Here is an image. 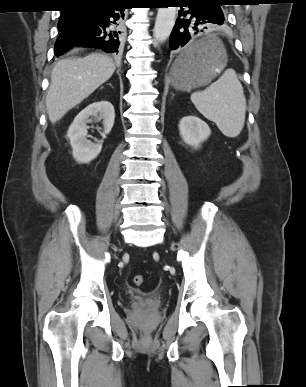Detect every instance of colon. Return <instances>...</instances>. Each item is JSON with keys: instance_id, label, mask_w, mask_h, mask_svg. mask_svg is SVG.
I'll return each mask as SVG.
<instances>
[{"instance_id": "1", "label": "colon", "mask_w": 306, "mask_h": 387, "mask_svg": "<svg viewBox=\"0 0 306 387\" xmlns=\"http://www.w3.org/2000/svg\"><path fill=\"white\" fill-rule=\"evenodd\" d=\"M133 282L137 287H141L145 283V278L142 275H136L133 278Z\"/></svg>"}]
</instances>
